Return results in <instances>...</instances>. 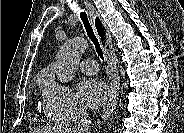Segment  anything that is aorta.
<instances>
[{
    "label": "aorta",
    "mask_w": 184,
    "mask_h": 133,
    "mask_svg": "<svg viewBox=\"0 0 184 133\" xmlns=\"http://www.w3.org/2000/svg\"><path fill=\"white\" fill-rule=\"evenodd\" d=\"M88 48V42L84 38L75 37L66 41L59 49L56 57V75L58 80L69 83L77 71L79 62Z\"/></svg>",
    "instance_id": "obj_1"
}]
</instances>
